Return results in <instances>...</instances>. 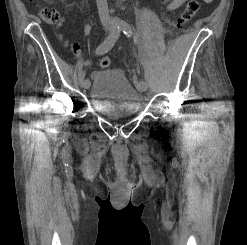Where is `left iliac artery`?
<instances>
[{
	"instance_id": "obj_1",
	"label": "left iliac artery",
	"mask_w": 247,
	"mask_h": 245,
	"mask_svg": "<svg viewBox=\"0 0 247 245\" xmlns=\"http://www.w3.org/2000/svg\"><path fill=\"white\" fill-rule=\"evenodd\" d=\"M119 27L126 36L128 37L132 36V29L128 23L122 22L120 23ZM139 84L142 86H147V84L144 81H140Z\"/></svg>"
}]
</instances>
